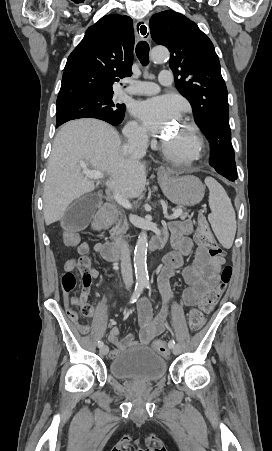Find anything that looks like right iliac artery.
I'll use <instances>...</instances> for the list:
<instances>
[{
    "label": "right iliac artery",
    "mask_w": 272,
    "mask_h": 451,
    "mask_svg": "<svg viewBox=\"0 0 272 451\" xmlns=\"http://www.w3.org/2000/svg\"><path fill=\"white\" fill-rule=\"evenodd\" d=\"M145 287V281H139L136 283L135 285V289L134 292L129 300V303L132 304L134 302H136L138 300V298L140 297L141 293L143 292V289ZM104 345V343L102 341H98V347L101 348Z\"/></svg>",
    "instance_id": "1"
}]
</instances>
